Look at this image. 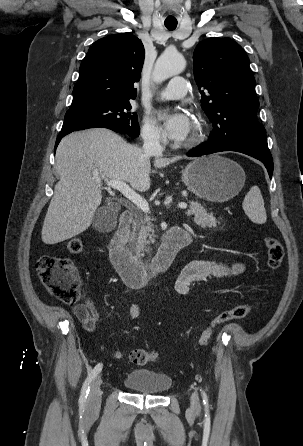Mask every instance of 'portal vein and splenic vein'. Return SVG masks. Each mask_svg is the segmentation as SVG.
I'll use <instances>...</instances> for the list:
<instances>
[{
  "label": "portal vein and splenic vein",
  "instance_id": "portal-vein-and-splenic-vein-1",
  "mask_svg": "<svg viewBox=\"0 0 303 446\" xmlns=\"http://www.w3.org/2000/svg\"><path fill=\"white\" fill-rule=\"evenodd\" d=\"M97 182L100 184L101 181L97 180ZM107 186L118 190L121 192L129 201L134 203L138 209H140L144 213H150V208L148 202L140 196L138 193H136L132 188L129 187L128 184H126L123 181L118 180H110L106 182ZM178 208L180 209H186L187 204L185 202L178 203Z\"/></svg>",
  "mask_w": 303,
  "mask_h": 446
}]
</instances>
